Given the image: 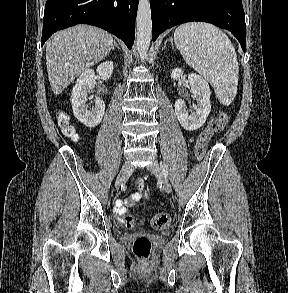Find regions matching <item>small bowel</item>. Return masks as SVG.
Segmentation results:
<instances>
[{"instance_id": "obj_1", "label": "small bowel", "mask_w": 288, "mask_h": 293, "mask_svg": "<svg viewBox=\"0 0 288 293\" xmlns=\"http://www.w3.org/2000/svg\"><path fill=\"white\" fill-rule=\"evenodd\" d=\"M143 197H146V194L143 193L142 191H138L132 195V197L129 201L123 202V201L119 200L117 202V208H116L117 213L118 214L124 213L125 211H127L125 205H132L134 202L140 200Z\"/></svg>"}]
</instances>
